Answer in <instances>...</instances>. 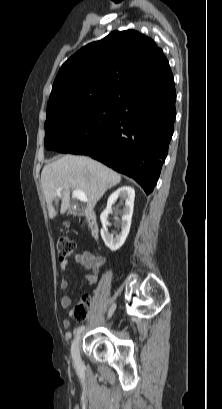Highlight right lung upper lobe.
<instances>
[{
    "label": "right lung upper lobe",
    "mask_w": 222,
    "mask_h": 409,
    "mask_svg": "<svg viewBox=\"0 0 222 409\" xmlns=\"http://www.w3.org/2000/svg\"><path fill=\"white\" fill-rule=\"evenodd\" d=\"M172 73L163 51L135 31H114L92 42L60 68L47 113L73 104L116 102L169 89L163 76Z\"/></svg>",
    "instance_id": "cb5924a9"
}]
</instances>
